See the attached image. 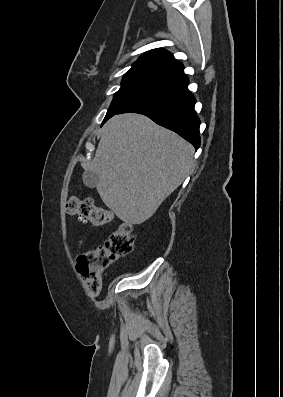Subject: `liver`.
<instances>
[{"label": "liver", "instance_id": "liver-1", "mask_svg": "<svg viewBox=\"0 0 283 397\" xmlns=\"http://www.w3.org/2000/svg\"><path fill=\"white\" fill-rule=\"evenodd\" d=\"M194 148L176 133L140 114L112 117L103 127L93 160L104 204L133 225L148 220L191 173Z\"/></svg>", "mask_w": 283, "mask_h": 397}]
</instances>
